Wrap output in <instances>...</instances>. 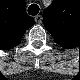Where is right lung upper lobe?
<instances>
[{"instance_id":"right-lung-upper-lobe-1","label":"right lung upper lobe","mask_w":80,"mask_h":80,"mask_svg":"<svg viewBox=\"0 0 80 80\" xmlns=\"http://www.w3.org/2000/svg\"><path fill=\"white\" fill-rule=\"evenodd\" d=\"M34 24V19L26 14L24 2L11 1L0 13L1 46L12 48L18 45L25 31Z\"/></svg>"}]
</instances>
